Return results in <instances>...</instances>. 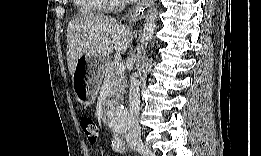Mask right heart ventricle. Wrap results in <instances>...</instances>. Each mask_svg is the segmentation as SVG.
Returning a JSON list of instances; mask_svg holds the SVG:
<instances>
[{"mask_svg": "<svg viewBox=\"0 0 261 156\" xmlns=\"http://www.w3.org/2000/svg\"><path fill=\"white\" fill-rule=\"evenodd\" d=\"M79 6H81L83 9L87 11H92L94 9H97L99 5L101 4V1L98 0H78L76 2Z\"/></svg>", "mask_w": 261, "mask_h": 156, "instance_id": "e07e8e85", "label": "right heart ventricle"}]
</instances>
